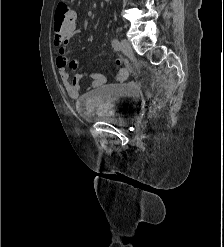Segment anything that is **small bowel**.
Listing matches in <instances>:
<instances>
[{"instance_id": "small-bowel-1", "label": "small bowel", "mask_w": 224, "mask_h": 247, "mask_svg": "<svg viewBox=\"0 0 224 247\" xmlns=\"http://www.w3.org/2000/svg\"><path fill=\"white\" fill-rule=\"evenodd\" d=\"M81 29L75 25L74 34L80 33ZM69 37L61 36L54 33L53 44L58 50L57 57L55 59L56 67L58 68L60 79L63 87L70 98L76 99L81 93V83L86 77L91 78V88H98L106 83V77L101 73H77L74 77L68 72L70 64V49L68 46Z\"/></svg>"}]
</instances>
